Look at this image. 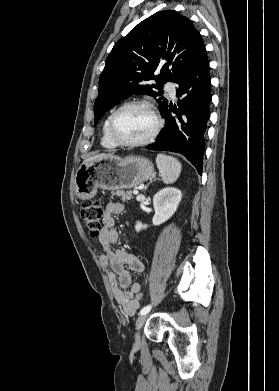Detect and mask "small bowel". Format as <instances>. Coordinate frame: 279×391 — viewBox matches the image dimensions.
I'll return each mask as SVG.
<instances>
[{"label": "small bowel", "mask_w": 279, "mask_h": 391, "mask_svg": "<svg viewBox=\"0 0 279 391\" xmlns=\"http://www.w3.org/2000/svg\"><path fill=\"white\" fill-rule=\"evenodd\" d=\"M122 210L123 205L114 201L108 202L105 206L103 227L99 235V242L103 250L100 263L108 271L115 300L125 314L134 315L140 306L136 296L141 292V284L131 282V275L125 265L135 272H143L145 265L135 255L114 247L119 238L114 216L120 214Z\"/></svg>", "instance_id": "obj_1"}]
</instances>
